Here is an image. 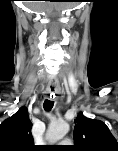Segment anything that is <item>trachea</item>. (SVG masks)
I'll return each instance as SVG.
<instances>
[{"instance_id": "1", "label": "trachea", "mask_w": 118, "mask_h": 151, "mask_svg": "<svg viewBox=\"0 0 118 151\" xmlns=\"http://www.w3.org/2000/svg\"><path fill=\"white\" fill-rule=\"evenodd\" d=\"M53 97V95H52ZM54 106V101L53 100H50V99H46L44 101V104H43V107L46 111H50Z\"/></svg>"}]
</instances>
